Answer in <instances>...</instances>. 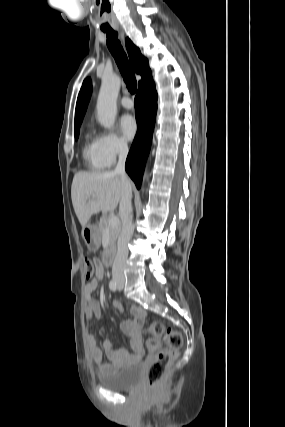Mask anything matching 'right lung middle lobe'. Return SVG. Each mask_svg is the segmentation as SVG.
Returning <instances> with one entry per match:
<instances>
[{
	"mask_svg": "<svg viewBox=\"0 0 285 427\" xmlns=\"http://www.w3.org/2000/svg\"><path fill=\"white\" fill-rule=\"evenodd\" d=\"M74 135H75V139L77 140L79 136V128L74 129Z\"/></svg>",
	"mask_w": 285,
	"mask_h": 427,
	"instance_id": "right-lung-middle-lobe-1",
	"label": "right lung middle lobe"
}]
</instances>
